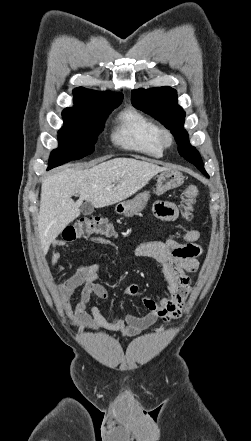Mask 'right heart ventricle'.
<instances>
[{
  "instance_id": "e07e8e85",
  "label": "right heart ventricle",
  "mask_w": 251,
  "mask_h": 441,
  "mask_svg": "<svg viewBox=\"0 0 251 441\" xmlns=\"http://www.w3.org/2000/svg\"><path fill=\"white\" fill-rule=\"evenodd\" d=\"M159 128L148 115L129 107L118 114L111 139L125 150L160 158L163 156L164 148L158 140Z\"/></svg>"
}]
</instances>
